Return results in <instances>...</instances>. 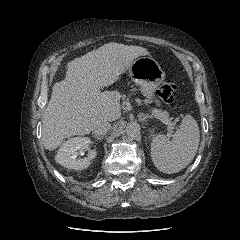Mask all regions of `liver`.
Instances as JSON below:
<instances>
[{"instance_id":"6515ba94","label":"liver","mask_w":240,"mask_h":240,"mask_svg":"<svg viewBox=\"0 0 240 240\" xmlns=\"http://www.w3.org/2000/svg\"><path fill=\"white\" fill-rule=\"evenodd\" d=\"M148 54L140 46L110 42L70 61L43 114L44 147L54 150L65 138L89 134L99 121L117 120L121 95L101 88L119 80L137 57Z\"/></svg>"}]
</instances>
